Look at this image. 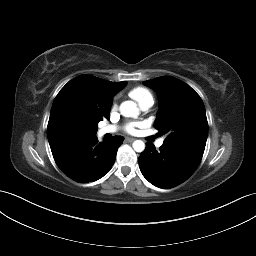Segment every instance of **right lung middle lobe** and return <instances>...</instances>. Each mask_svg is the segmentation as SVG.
I'll list each match as a JSON object with an SVG mask.
<instances>
[{
  "label": "right lung middle lobe",
  "mask_w": 256,
  "mask_h": 256,
  "mask_svg": "<svg viewBox=\"0 0 256 256\" xmlns=\"http://www.w3.org/2000/svg\"><path fill=\"white\" fill-rule=\"evenodd\" d=\"M97 129L95 130H86L84 128H72L69 132L70 136H82V135H93L96 134Z\"/></svg>",
  "instance_id": "dd1d6c3e"
}]
</instances>
